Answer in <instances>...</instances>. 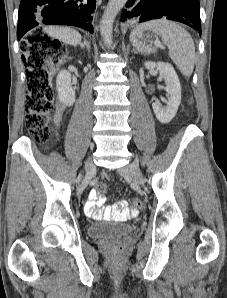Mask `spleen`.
<instances>
[{"mask_svg": "<svg viewBox=\"0 0 227 298\" xmlns=\"http://www.w3.org/2000/svg\"><path fill=\"white\" fill-rule=\"evenodd\" d=\"M146 30L158 34L169 49V56L180 72L189 77L195 64V45L191 35L178 24L166 19L152 20L137 26L130 34L131 43L142 54H151L156 48L139 43L137 36Z\"/></svg>", "mask_w": 227, "mask_h": 298, "instance_id": "spleen-1", "label": "spleen"}]
</instances>
